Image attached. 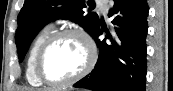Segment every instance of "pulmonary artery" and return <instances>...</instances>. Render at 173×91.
Wrapping results in <instances>:
<instances>
[{"mask_svg":"<svg viewBox=\"0 0 173 91\" xmlns=\"http://www.w3.org/2000/svg\"><path fill=\"white\" fill-rule=\"evenodd\" d=\"M98 4H100L102 11L105 12L106 11V7H105V1L103 0H98L97 1Z\"/></svg>","mask_w":173,"mask_h":91,"instance_id":"1","label":"pulmonary artery"}]
</instances>
